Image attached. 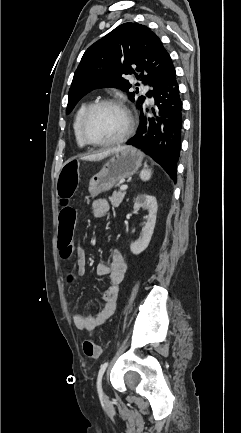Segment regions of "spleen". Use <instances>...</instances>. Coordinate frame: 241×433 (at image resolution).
I'll return each mask as SVG.
<instances>
[{
    "label": "spleen",
    "instance_id": "spleen-1",
    "mask_svg": "<svg viewBox=\"0 0 241 433\" xmlns=\"http://www.w3.org/2000/svg\"><path fill=\"white\" fill-rule=\"evenodd\" d=\"M151 175H152L151 169L146 168L141 171L140 178L142 181H148L150 180Z\"/></svg>",
    "mask_w": 241,
    "mask_h": 433
}]
</instances>
